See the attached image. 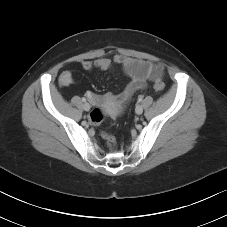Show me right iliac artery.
<instances>
[{"label":"right iliac artery","mask_w":227,"mask_h":227,"mask_svg":"<svg viewBox=\"0 0 227 227\" xmlns=\"http://www.w3.org/2000/svg\"><path fill=\"white\" fill-rule=\"evenodd\" d=\"M82 101H83V102H86V98L83 97V98H82Z\"/></svg>","instance_id":"right-iliac-artery-1"}]
</instances>
